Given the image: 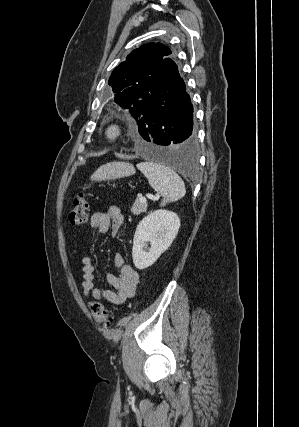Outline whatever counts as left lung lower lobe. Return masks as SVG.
Here are the masks:
<instances>
[{
  "instance_id": "0a47b994",
  "label": "left lung lower lobe",
  "mask_w": 299,
  "mask_h": 427,
  "mask_svg": "<svg viewBox=\"0 0 299 427\" xmlns=\"http://www.w3.org/2000/svg\"><path fill=\"white\" fill-rule=\"evenodd\" d=\"M137 121L141 137L150 142L140 145L141 151L156 160L190 171L197 151L193 127V106L182 78L146 109L140 110Z\"/></svg>"
}]
</instances>
